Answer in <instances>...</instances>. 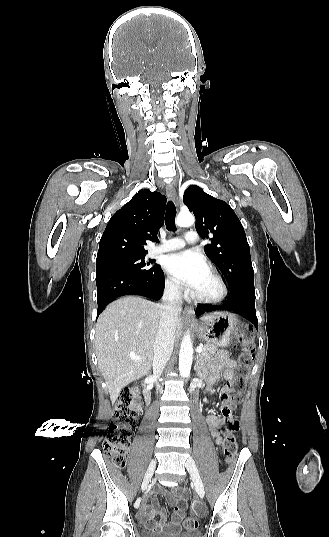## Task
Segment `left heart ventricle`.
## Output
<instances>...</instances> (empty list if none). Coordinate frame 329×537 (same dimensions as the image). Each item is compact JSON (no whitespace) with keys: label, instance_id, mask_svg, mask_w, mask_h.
Here are the masks:
<instances>
[{"label":"left heart ventricle","instance_id":"b2bd125f","mask_svg":"<svg viewBox=\"0 0 329 537\" xmlns=\"http://www.w3.org/2000/svg\"><path fill=\"white\" fill-rule=\"evenodd\" d=\"M218 292V285L212 275L207 272L195 293L200 295L210 296Z\"/></svg>","mask_w":329,"mask_h":537}]
</instances>
